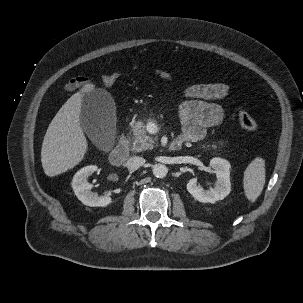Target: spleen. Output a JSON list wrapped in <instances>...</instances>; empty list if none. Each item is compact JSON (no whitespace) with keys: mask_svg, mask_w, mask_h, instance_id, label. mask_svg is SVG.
<instances>
[{"mask_svg":"<svg viewBox=\"0 0 303 303\" xmlns=\"http://www.w3.org/2000/svg\"><path fill=\"white\" fill-rule=\"evenodd\" d=\"M265 184V160L255 158L244 171L243 188L247 199L255 202Z\"/></svg>","mask_w":303,"mask_h":303,"instance_id":"obj_1","label":"spleen"}]
</instances>
